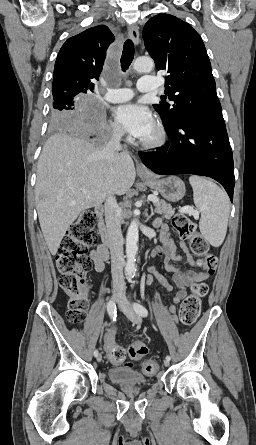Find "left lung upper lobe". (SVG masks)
Instances as JSON below:
<instances>
[{
  "instance_id": "left-lung-upper-lobe-1",
  "label": "left lung upper lobe",
  "mask_w": 256,
  "mask_h": 445,
  "mask_svg": "<svg viewBox=\"0 0 256 445\" xmlns=\"http://www.w3.org/2000/svg\"><path fill=\"white\" fill-rule=\"evenodd\" d=\"M146 50L165 76L163 101L153 107L164 123L184 112L222 115L211 64L199 34L186 22L169 14L152 17L143 28ZM166 97V96H165Z\"/></svg>"
}]
</instances>
